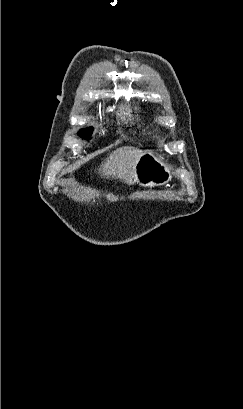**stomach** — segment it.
<instances>
[{"instance_id":"stomach-1","label":"stomach","mask_w":243,"mask_h":409,"mask_svg":"<svg viewBox=\"0 0 243 409\" xmlns=\"http://www.w3.org/2000/svg\"><path fill=\"white\" fill-rule=\"evenodd\" d=\"M172 174L169 166L152 152H143L136 163V182L143 187L167 184Z\"/></svg>"}]
</instances>
